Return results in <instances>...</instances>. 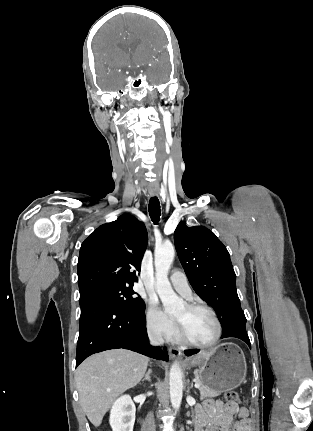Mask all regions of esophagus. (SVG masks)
<instances>
[{"instance_id":"1","label":"esophagus","mask_w":313,"mask_h":431,"mask_svg":"<svg viewBox=\"0 0 313 431\" xmlns=\"http://www.w3.org/2000/svg\"><path fill=\"white\" fill-rule=\"evenodd\" d=\"M149 195L152 196V197L153 196H157L158 195V191L156 189H150L149 190ZM169 353H170V356L172 358H178V357L181 356V350L178 349V348H170L169 349Z\"/></svg>"}]
</instances>
